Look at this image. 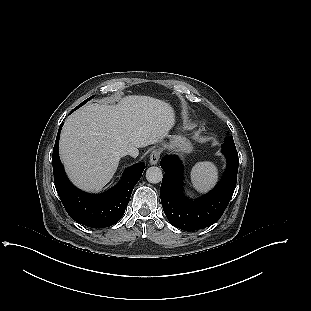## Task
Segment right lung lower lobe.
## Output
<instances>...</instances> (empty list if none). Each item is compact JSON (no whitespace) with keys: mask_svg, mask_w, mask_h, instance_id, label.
<instances>
[{"mask_svg":"<svg viewBox=\"0 0 311 311\" xmlns=\"http://www.w3.org/2000/svg\"><path fill=\"white\" fill-rule=\"evenodd\" d=\"M62 125L54 145L52 163L55 187L67 213L76 222L91 228L115 224L123 216L145 164L142 162L127 168L121 181L104 194L92 195L82 192L70 183L59 159L58 143Z\"/></svg>","mask_w":311,"mask_h":311,"instance_id":"1","label":"right lung lower lobe"}]
</instances>
